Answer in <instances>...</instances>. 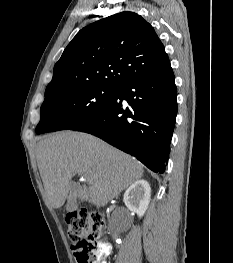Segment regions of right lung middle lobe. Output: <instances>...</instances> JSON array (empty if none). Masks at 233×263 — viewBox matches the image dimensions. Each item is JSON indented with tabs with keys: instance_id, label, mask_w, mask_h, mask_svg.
<instances>
[{
	"instance_id": "1",
	"label": "right lung middle lobe",
	"mask_w": 233,
	"mask_h": 263,
	"mask_svg": "<svg viewBox=\"0 0 233 263\" xmlns=\"http://www.w3.org/2000/svg\"><path fill=\"white\" fill-rule=\"evenodd\" d=\"M116 87L87 86L46 97L36 133L68 130L92 118L113 100Z\"/></svg>"
}]
</instances>
